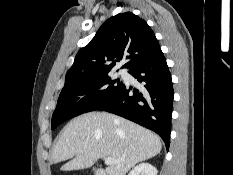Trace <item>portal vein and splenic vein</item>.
Masks as SVG:
<instances>
[{
    "label": "portal vein and splenic vein",
    "mask_w": 233,
    "mask_h": 175,
    "mask_svg": "<svg viewBox=\"0 0 233 175\" xmlns=\"http://www.w3.org/2000/svg\"><path fill=\"white\" fill-rule=\"evenodd\" d=\"M116 163V160H114L113 158H105V164L106 165H111V164H114Z\"/></svg>",
    "instance_id": "obj_1"
}]
</instances>
